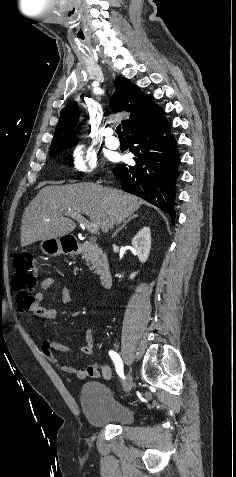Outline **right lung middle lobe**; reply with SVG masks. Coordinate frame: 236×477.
<instances>
[{
    "label": "right lung middle lobe",
    "instance_id": "1",
    "mask_svg": "<svg viewBox=\"0 0 236 477\" xmlns=\"http://www.w3.org/2000/svg\"><path fill=\"white\" fill-rule=\"evenodd\" d=\"M63 150H65V149H54V150H51L49 156H50V157H55V156H57L60 152H62ZM69 160H72V159L69 157Z\"/></svg>",
    "mask_w": 236,
    "mask_h": 477
}]
</instances>
